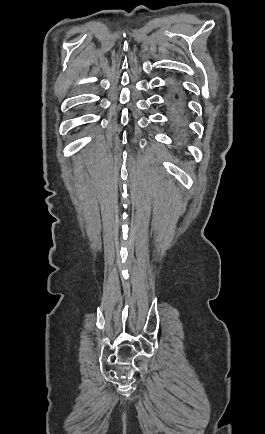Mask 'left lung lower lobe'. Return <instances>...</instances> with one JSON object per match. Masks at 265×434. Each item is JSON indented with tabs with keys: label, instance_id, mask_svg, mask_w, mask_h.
I'll return each mask as SVG.
<instances>
[{
	"label": "left lung lower lobe",
	"instance_id": "left-lung-lower-lobe-1",
	"mask_svg": "<svg viewBox=\"0 0 265 434\" xmlns=\"http://www.w3.org/2000/svg\"><path fill=\"white\" fill-rule=\"evenodd\" d=\"M176 108L179 109L178 115L171 121L170 128L176 138L186 139L190 135L188 120L185 113L183 112V108L181 106H176Z\"/></svg>",
	"mask_w": 265,
	"mask_h": 434
}]
</instances>
